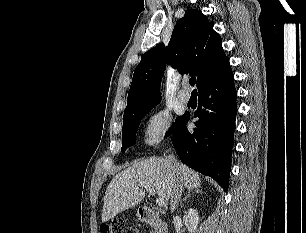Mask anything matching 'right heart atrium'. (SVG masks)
Here are the masks:
<instances>
[{"label": "right heart atrium", "mask_w": 306, "mask_h": 233, "mask_svg": "<svg viewBox=\"0 0 306 233\" xmlns=\"http://www.w3.org/2000/svg\"><path fill=\"white\" fill-rule=\"evenodd\" d=\"M172 117L165 110H157L148 116L144 126V143L150 148L159 147L168 137Z\"/></svg>", "instance_id": "1"}]
</instances>
